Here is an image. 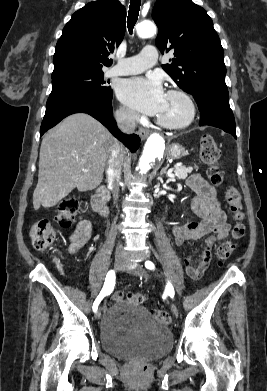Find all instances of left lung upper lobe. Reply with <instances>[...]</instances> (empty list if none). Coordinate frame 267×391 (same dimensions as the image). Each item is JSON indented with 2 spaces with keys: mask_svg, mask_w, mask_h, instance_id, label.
Returning a JSON list of instances; mask_svg holds the SVG:
<instances>
[{
  "mask_svg": "<svg viewBox=\"0 0 267 391\" xmlns=\"http://www.w3.org/2000/svg\"><path fill=\"white\" fill-rule=\"evenodd\" d=\"M152 18L159 32L161 53L174 51L162 68L185 92L208 88L227 90L226 67L220 39L207 12L191 0H157Z\"/></svg>",
  "mask_w": 267,
  "mask_h": 391,
  "instance_id": "1",
  "label": "left lung upper lobe"
}]
</instances>
